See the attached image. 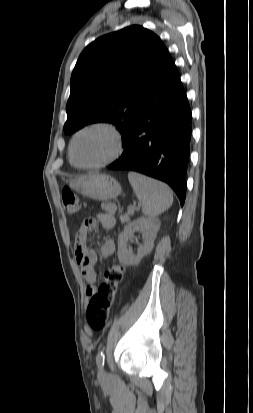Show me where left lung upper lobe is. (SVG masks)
<instances>
[{
  "label": "left lung upper lobe",
  "instance_id": "left-lung-upper-lobe-1",
  "mask_svg": "<svg viewBox=\"0 0 253 413\" xmlns=\"http://www.w3.org/2000/svg\"><path fill=\"white\" fill-rule=\"evenodd\" d=\"M172 58L153 32L133 25L88 45L71 76L65 134L87 124H115L122 140Z\"/></svg>",
  "mask_w": 253,
  "mask_h": 413
}]
</instances>
